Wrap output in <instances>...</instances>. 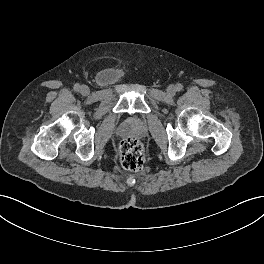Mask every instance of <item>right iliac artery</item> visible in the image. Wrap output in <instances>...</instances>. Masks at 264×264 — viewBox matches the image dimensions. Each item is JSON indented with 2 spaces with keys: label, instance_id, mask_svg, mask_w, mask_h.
Here are the masks:
<instances>
[{
  "label": "right iliac artery",
  "instance_id": "1",
  "mask_svg": "<svg viewBox=\"0 0 264 264\" xmlns=\"http://www.w3.org/2000/svg\"><path fill=\"white\" fill-rule=\"evenodd\" d=\"M73 88L75 91H79L81 86L79 84H75Z\"/></svg>",
  "mask_w": 264,
  "mask_h": 264
}]
</instances>
